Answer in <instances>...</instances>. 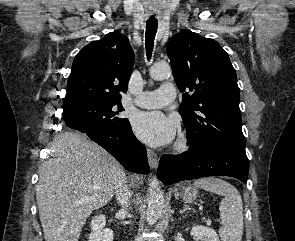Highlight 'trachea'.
Wrapping results in <instances>:
<instances>
[{
  "label": "trachea",
  "mask_w": 295,
  "mask_h": 241,
  "mask_svg": "<svg viewBox=\"0 0 295 241\" xmlns=\"http://www.w3.org/2000/svg\"><path fill=\"white\" fill-rule=\"evenodd\" d=\"M158 21L157 20H147L146 22V34H145V45L147 58L150 59L153 47L154 39L157 32Z\"/></svg>",
  "instance_id": "obj_1"
}]
</instances>
